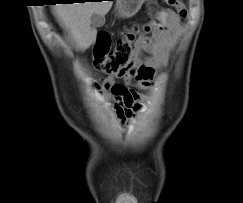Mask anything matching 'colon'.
I'll return each instance as SVG.
<instances>
[{
    "instance_id": "5ec220e1",
    "label": "colon",
    "mask_w": 243,
    "mask_h": 203,
    "mask_svg": "<svg viewBox=\"0 0 243 203\" xmlns=\"http://www.w3.org/2000/svg\"><path fill=\"white\" fill-rule=\"evenodd\" d=\"M164 2L175 9L181 18L187 16V10L182 0H164ZM156 27L150 21L132 23L123 30L113 50L111 49L110 35L106 32L99 33L93 52L96 69L112 75L126 71L132 62L133 44L138 38L153 33Z\"/></svg>"
}]
</instances>
